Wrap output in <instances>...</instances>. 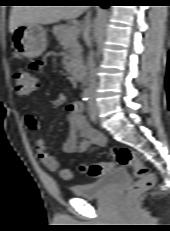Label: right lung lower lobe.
<instances>
[{
    "instance_id": "1",
    "label": "right lung lower lobe",
    "mask_w": 170,
    "mask_h": 231,
    "mask_svg": "<svg viewBox=\"0 0 170 231\" xmlns=\"http://www.w3.org/2000/svg\"><path fill=\"white\" fill-rule=\"evenodd\" d=\"M101 6H102L103 8H107V6H106V5H104V4H102Z\"/></svg>"
}]
</instances>
